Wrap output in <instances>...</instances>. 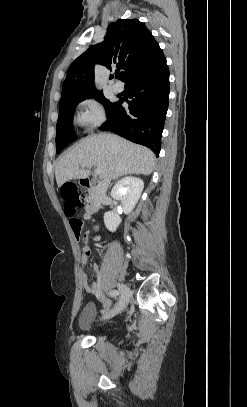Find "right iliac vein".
Here are the masks:
<instances>
[{
  "label": "right iliac vein",
  "mask_w": 247,
  "mask_h": 407,
  "mask_svg": "<svg viewBox=\"0 0 247 407\" xmlns=\"http://www.w3.org/2000/svg\"><path fill=\"white\" fill-rule=\"evenodd\" d=\"M121 298L119 304L108 314L102 317L103 320L112 318L119 314L129 303L131 297L130 288L125 284H120Z\"/></svg>",
  "instance_id": "right-iliac-vein-1"
}]
</instances>
